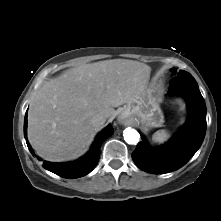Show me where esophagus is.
Listing matches in <instances>:
<instances>
[{"label":"esophagus","instance_id":"esophagus-1","mask_svg":"<svg viewBox=\"0 0 221 221\" xmlns=\"http://www.w3.org/2000/svg\"><path fill=\"white\" fill-rule=\"evenodd\" d=\"M119 123H126L128 121V116L126 114H120L118 116Z\"/></svg>","mask_w":221,"mask_h":221}]
</instances>
